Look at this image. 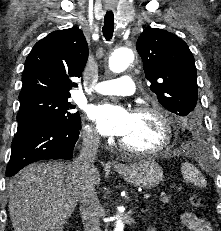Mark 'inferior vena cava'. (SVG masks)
I'll return each instance as SVG.
<instances>
[{
    "mask_svg": "<svg viewBox=\"0 0 221 231\" xmlns=\"http://www.w3.org/2000/svg\"><path fill=\"white\" fill-rule=\"evenodd\" d=\"M99 143L100 136L91 129L86 130L83 134L80 155L74 161V166L79 175L80 214L84 231H101V206L95 189L96 167L94 165Z\"/></svg>",
    "mask_w": 221,
    "mask_h": 231,
    "instance_id": "obj_1",
    "label": "inferior vena cava"
}]
</instances>
